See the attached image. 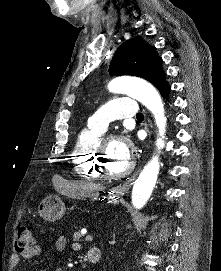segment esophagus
Instances as JSON below:
<instances>
[{"mask_svg":"<svg viewBox=\"0 0 221 271\" xmlns=\"http://www.w3.org/2000/svg\"><path fill=\"white\" fill-rule=\"evenodd\" d=\"M147 130V127H145ZM148 131V130H147ZM137 173H135L132 178H130L128 181L123 183L121 187L115 188L114 191L121 194L124 193L125 191H128V189L131 187L132 182L135 180Z\"/></svg>","mask_w":221,"mask_h":271,"instance_id":"esophagus-1","label":"esophagus"}]
</instances>
